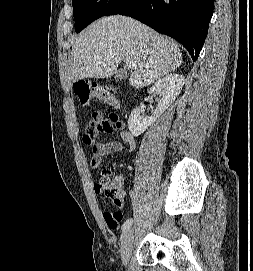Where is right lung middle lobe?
I'll use <instances>...</instances> for the list:
<instances>
[{"mask_svg": "<svg viewBox=\"0 0 253 271\" xmlns=\"http://www.w3.org/2000/svg\"><path fill=\"white\" fill-rule=\"evenodd\" d=\"M125 0H73L75 31L79 33L94 20L115 15Z\"/></svg>", "mask_w": 253, "mask_h": 271, "instance_id": "dd1d6c3e", "label": "right lung middle lobe"}]
</instances>
